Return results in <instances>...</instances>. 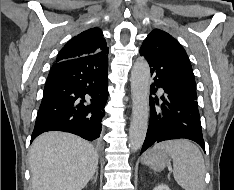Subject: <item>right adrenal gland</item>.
<instances>
[{"label": "right adrenal gland", "mask_w": 234, "mask_h": 190, "mask_svg": "<svg viewBox=\"0 0 234 190\" xmlns=\"http://www.w3.org/2000/svg\"><path fill=\"white\" fill-rule=\"evenodd\" d=\"M97 176H98V171H96L95 176L92 177V180H93L94 183H96V181H97Z\"/></svg>", "instance_id": "1"}]
</instances>
